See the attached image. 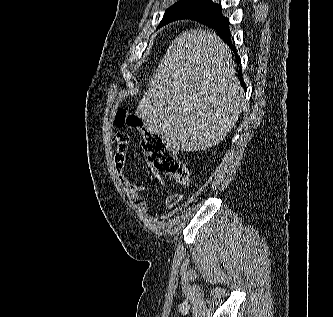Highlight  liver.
Masks as SVG:
<instances>
[{
    "label": "liver",
    "mask_w": 333,
    "mask_h": 317,
    "mask_svg": "<svg viewBox=\"0 0 333 317\" xmlns=\"http://www.w3.org/2000/svg\"><path fill=\"white\" fill-rule=\"evenodd\" d=\"M229 47L216 33L189 30L169 46L136 113L175 151L219 144L245 104Z\"/></svg>",
    "instance_id": "1"
}]
</instances>
